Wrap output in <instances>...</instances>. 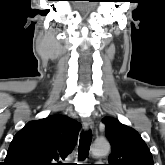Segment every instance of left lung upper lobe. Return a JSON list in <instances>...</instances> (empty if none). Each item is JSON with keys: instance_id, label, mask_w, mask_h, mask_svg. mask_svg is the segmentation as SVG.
<instances>
[{"instance_id": "5c2ea615", "label": "left lung upper lobe", "mask_w": 165, "mask_h": 165, "mask_svg": "<svg viewBox=\"0 0 165 165\" xmlns=\"http://www.w3.org/2000/svg\"><path fill=\"white\" fill-rule=\"evenodd\" d=\"M103 122L112 148L108 165H153L152 154L137 131L115 118L106 117Z\"/></svg>"}]
</instances>
